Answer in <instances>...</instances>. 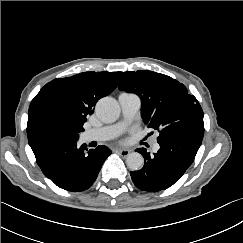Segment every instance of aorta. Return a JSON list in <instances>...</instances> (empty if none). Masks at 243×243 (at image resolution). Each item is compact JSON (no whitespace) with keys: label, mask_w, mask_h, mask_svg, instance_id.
I'll return each mask as SVG.
<instances>
[{"label":"aorta","mask_w":243,"mask_h":243,"mask_svg":"<svg viewBox=\"0 0 243 243\" xmlns=\"http://www.w3.org/2000/svg\"><path fill=\"white\" fill-rule=\"evenodd\" d=\"M95 111L97 117L104 123L114 122L120 115L119 104L111 97L101 98L95 106ZM126 164L130 170L137 171L142 169L144 158L140 153L132 152L128 154Z\"/></svg>","instance_id":"1"}]
</instances>
